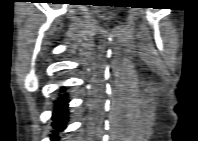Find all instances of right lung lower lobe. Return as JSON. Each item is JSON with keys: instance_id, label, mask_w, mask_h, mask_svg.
Masks as SVG:
<instances>
[{"instance_id": "obj_1", "label": "right lung lower lobe", "mask_w": 198, "mask_h": 141, "mask_svg": "<svg viewBox=\"0 0 198 141\" xmlns=\"http://www.w3.org/2000/svg\"><path fill=\"white\" fill-rule=\"evenodd\" d=\"M66 90L65 87H61L59 92L60 95L57 100L54 101L55 109L53 112V123L54 134L52 138H58L57 131H62L66 127V121L68 120V102L67 93H64Z\"/></svg>"}]
</instances>
